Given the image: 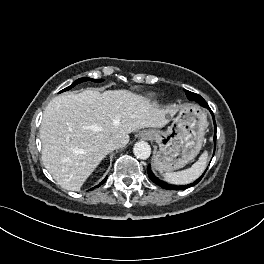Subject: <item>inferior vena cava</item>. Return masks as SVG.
Masks as SVG:
<instances>
[{"mask_svg":"<svg viewBox=\"0 0 264 264\" xmlns=\"http://www.w3.org/2000/svg\"><path fill=\"white\" fill-rule=\"evenodd\" d=\"M119 147H120V145L117 141H109L105 145V150L110 152V151H113L115 149H118Z\"/></svg>","mask_w":264,"mask_h":264,"instance_id":"1","label":"inferior vena cava"}]
</instances>
